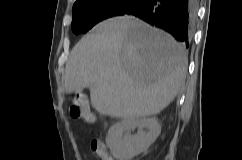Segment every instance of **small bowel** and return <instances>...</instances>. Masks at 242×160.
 <instances>
[{
  "label": "small bowel",
  "mask_w": 242,
  "mask_h": 160,
  "mask_svg": "<svg viewBox=\"0 0 242 160\" xmlns=\"http://www.w3.org/2000/svg\"><path fill=\"white\" fill-rule=\"evenodd\" d=\"M98 142H100V141H98ZM100 143L102 144V146L97 147V148H95L97 141H93L91 144L92 149L95 150L97 154L101 153L103 150H106L104 144L102 142H100ZM101 159L102 160H114L109 154L102 156Z\"/></svg>",
  "instance_id": "small-bowel-1"
}]
</instances>
